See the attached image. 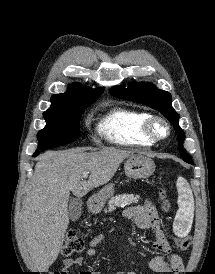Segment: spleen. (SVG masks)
<instances>
[{
	"label": "spleen",
	"instance_id": "obj_1",
	"mask_svg": "<svg viewBox=\"0 0 215 274\" xmlns=\"http://www.w3.org/2000/svg\"><path fill=\"white\" fill-rule=\"evenodd\" d=\"M178 205L173 230L179 237L187 235V225L192 220L194 214V200L192 190L188 182L183 177L177 179Z\"/></svg>",
	"mask_w": 215,
	"mask_h": 274
}]
</instances>
